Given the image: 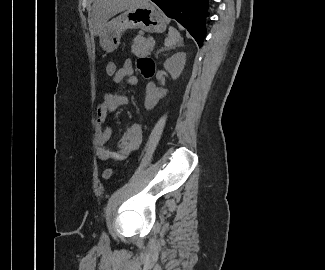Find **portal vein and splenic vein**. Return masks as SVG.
<instances>
[{
	"label": "portal vein and splenic vein",
	"mask_w": 325,
	"mask_h": 270,
	"mask_svg": "<svg viewBox=\"0 0 325 270\" xmlns=\"http://www.w3.org/2000/svg\"><path fill=\"white\" fill-rule=\"evenodd\" d=\"M150 41H151L150 45H151L152 47H154V46H155V41H154L152 38L150 39Z\"/></svg>",
	"instance_id": "18ae733b"
}]
</instances>
